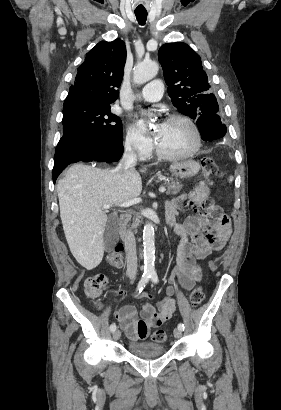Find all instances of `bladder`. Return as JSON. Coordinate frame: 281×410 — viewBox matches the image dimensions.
Instances as JSON below:
<instances>
[{
	"mask_svg": "<svg viewBox=\"0 0 281 410\" xmlns=\"http://www.w3.org/2000/svg\"><path fill=\"white\" fill-rule=\"evenodd\" d=\"M128 350L132 355L138 357H156L165 353V347L163 345L149 341L130 342Z\"/></svg>",
	"mask_w": 281,
	"mask_h": 410,
	"instance_id": "1",
	"label": "bladder"
}]
</instances>
